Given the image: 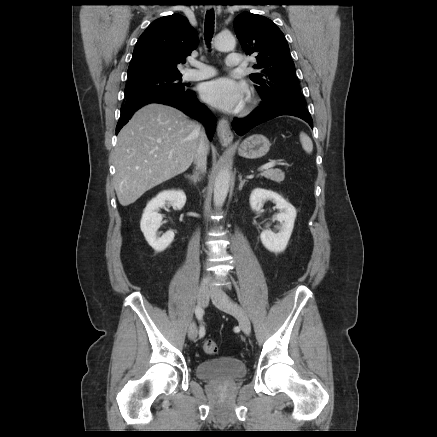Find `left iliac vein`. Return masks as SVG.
Here are the masks:
<instances>
[{
    "label": "left iliac vein",
    "mask_w": 437,
    "mask_h": 437,
    "mask_svg": "<svg viewBox=\"0 0 437 437\" xmlns=\"http://www.w3.org/2000/svg\"><path fill=\"white\" fill-rule=\"evenodd\" d=\"M211 300L219 309L234 315L238 321L242 331L246 335H250L251 324L245 311L234 301H232L223 291L213 290L211 292Z\"/></svg>",
    "instance_id": "1"
}]
</instances>
